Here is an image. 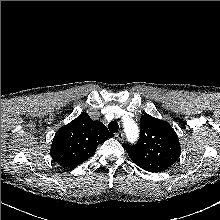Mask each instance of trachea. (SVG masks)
<instances>
[{
  "instance_id": "3493384b",
  "label": "trachea",
  "mask_w": 220,
  "mask_h": 220,
  "mask_svg": "<svg viewBox=\"0 0 220 220\" xmlns=\"http://www.w3.org/2000/svg\"><path fill=\"white\" fill-rule=\"evenodd\" d=\"M108 129H109L110 132H117L118 129H119V125L116 121H111L108 124Z\"/></svg>"
}]
</instances>
